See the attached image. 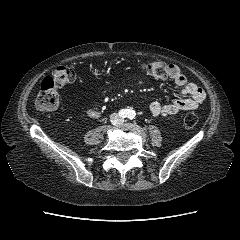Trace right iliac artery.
Here are the masks:
<instances>
[{
	"label": "right iliac artery",
	"mask_w": 240,
	"mask_h": 240,
	"mask_svg": "<svg viewBox=\"0 0 240 240\" xmlns=\"http://www.w3.org/2000/svg\"><path fill=\"white\" fill-rule=\"evenodd\" d=\"M127 110L125 109H122L119 111V116L122 117V118H125L127 116Z\"/></svg>",
	"instance_id": "1"
}]
</instances>
